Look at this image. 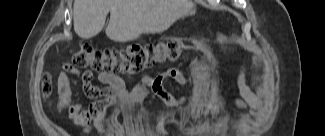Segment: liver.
Masks as SVG:
<instances>
[{
	"label": "liver",
	"mask_w": 325,
	"mask_h": 136,
	"mask_svg": "<svg viewBox=\"0 0 325 136\" xmlns=\"http://www.w3.org/2000/svg\"><path fill=\"white\" fill-rule=\"evenodd\" d=\"M192 7L190 0H75L74 31L82 39L96 36L110 12L106 35L115 42H129L165 31L193 14Z\"/></svg>",
	"instance_id": "liver-1"
}]
</instances>
